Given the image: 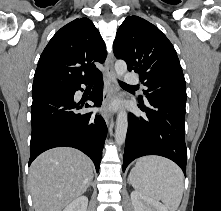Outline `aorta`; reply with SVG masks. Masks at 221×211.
I'll list each match as a JSON object with an SVG mask.
<instances>
[{
  "mask_svg": "<svg viewBox=\"0 0 221 211\" xmlns=\"http://www.w3.org/2000/svg\"><path fill=\"white\" fill-rule=\"evenodd\" d=\"M115 71L118 77H122L127 71V64L123 60L115 63ZM128 128V118L125 110H120L116 120L115 141L118 145L125 142Z\"/></svg>",
  "mask_w": 221,
  "mask_h": 211,
  "instance_id": "1",
  "label": "aorta"
}]
</instances>
